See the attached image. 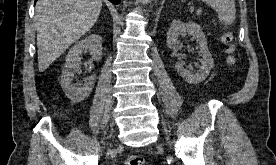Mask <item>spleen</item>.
Listing matches in <instances>:
<instances>
[{
	"label": "spleen",
	"mask_w": 276,
	"mask_h": 165,
	"mask_svg": "<svg viewBox=\"0 0 276 165\" xmlns=\"http://www.w3.org/2000/svg\"><path fill=\"white\" fill-rule=\"evenodd\" d=\"M182 2L185 0H181ZM210 5L218 14L219 21L226 25H231L235 20V2L234 0H202Z\"/></svg>",
	"instance_id": "1"
}]
</instances>
